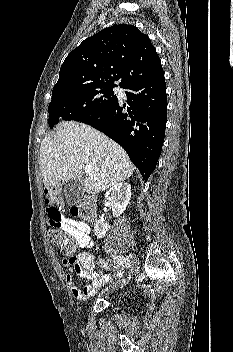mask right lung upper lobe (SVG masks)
Masks as SVG:
<instances>
[{
	"label": "right lung upper lobe",
	"instance_id": "right-lung-upper-lobe-1",
	"mask_svg": "<svg viewBox=\"0 0 233 352\" xmlns=\"http://www.w3.org/2000/svg\"><path fill=\"white\" fill-rule=\"evenodd\" d=\"M162 73L149 37L135 26L114 25L85 39L66 57L52 92L114 81L124 88Z\"/></svg>",
	"mask_w": 233,
	"mask_h": 352
}]
</instances>
